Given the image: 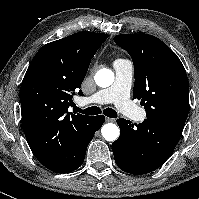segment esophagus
<instances>
[{
	"label": "esophagus",
	"instance_id": "obj_1",
	"mask_svg": "<svg viewBox=\"0 0 199 199\" xmlns=\"http://www.w3.org/2000/svg\"><path fill=\"white\" fill-rule=\"evenodd\" d=\"M114 121H115V119L106 117V122H114Z\"/></svg>",
	"mask_w": 199,
	"mask_h": 199
}]
</instances>
